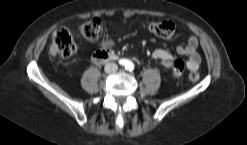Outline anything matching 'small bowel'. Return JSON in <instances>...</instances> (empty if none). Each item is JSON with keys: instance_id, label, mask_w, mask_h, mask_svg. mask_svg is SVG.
<instances>
[{"instance_id": "c3829d8e", "label": "small bowel", "mask_w": 247, "mask_h": 145, "mask_svg": "<svg viewBox=\"0 0 247 145\" xmlns=\"http://www.w3.org/2000/svg\"><path fill=\"white\" fill-rule=\"evenodd\" d=\"M114 46V40L106 39L101 43V49L108 51ZM198 40L195 36H191L186 44L179 45L176 48V53L180 56L187 57V68L190 71L196 72L200 66L201 57L198 53ZM152 57L156 60H160L165 67H171L175 57L168 51L163 49L155 50L152 53Z\"/></svg>"}]
</instances>
